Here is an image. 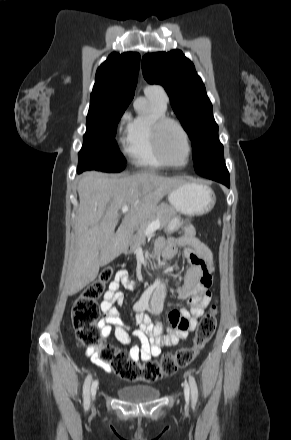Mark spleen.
<instances>
[{"mask_svg": "<svg viewBox=\"0 0 291 440\" xmlns=\"http://www.w3.org/2000/svg\"><path fill=\"white\" fill-rule=\"evenodd\" d=\"M218 223L221 224V221L219 220Z\"/></svg>", "mask_w": 291, "mask_h": 440, "instance_id": "3e777b00", "label": "spleen"}]
</instances>
